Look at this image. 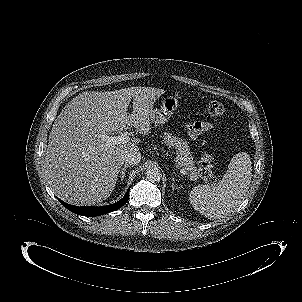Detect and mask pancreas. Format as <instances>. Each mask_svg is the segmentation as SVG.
Segmentation results:
<instances>
[{"label": "pancreas", "mask_w": 302, "mask_h": 302, "mask_svg": "<svg viewBox=\"0 0 302 302\" xmlns=\"http://www.w3.org/2000/svg\"><path fill=\"white\" fill-rule=\"evenodd\" d=\"M163 143L176 149V154L178 156L177 166L185 169L191 179H198L200 176V169L195 166V161L190 153V147L187 141L166 132L163 136Z\"/></svg>", "instance_id": "obj_1"}]
</instances>
